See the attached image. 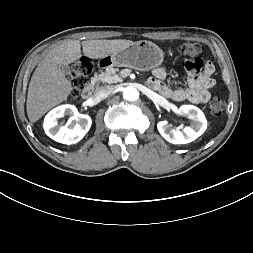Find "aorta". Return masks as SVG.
I'll return each instance as SVG.
<instances>
[{"label":"aorta","instance_id":"obj_1","mask_svg":"<svg viewBox=\"0 0 253 253\" xmlns=\"http://www.w3.org/2000/svg\"><path fill=\"white\" fill-rule=\"evenodd\" d=\"M123 97L128 101H135L139 98V92L134 87H126L123 92Z\"/></svg>","mask_w":253,"mask_h":253}]
</instances>
